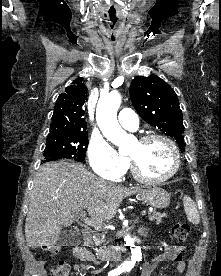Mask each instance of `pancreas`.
<instances>
[{
  "instance_id": "pancreas-1",
  "label": "pancreas",
  "mask_w": 221,
  "mask_h": 276,
  "mask_svg": "<svg viewBox=\"0 0 221 276\" xmlns=\"http://www.w3.org/2000/svg\"><path fill=\"white\" fill-rule=\"evenodd\" d=\"M148 217H149V220H151V221L156 220V223L160 224L162 218L165 217V214L152 212V213L149 214ZM104 242H105V235L104 234H95L93 236V242H92V244H94L96 246H99V245H101Z\"/></svg>"
}]
</instances>
